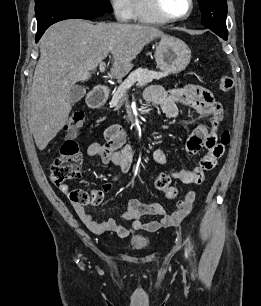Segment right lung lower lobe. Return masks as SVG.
Wrapping results in <instances>:
<instances>
[{
    "label": "right lung lower lobe",
    "mask_w": 261,
    "mask_h": 306,
    "mask_svg": "<svg viewBox=\"0 0 261 306\" xmlns=\"http://www.w3.org/2000/svg\"><path fill=\"white\" fill-rule=\"evenodd\" d=\"M35 14L37 18L36 42L39 41L45 30L52 24L72 18L93 19L103 16L105 13L100 11L74 9L50 5H36Z\"/></svg>",
    "instance_id": "obj_1"
}]
</instances>
